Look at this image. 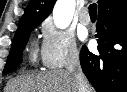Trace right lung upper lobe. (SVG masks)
Segmentation results:
<instances>
[{
  "mask_svg": "<svg viewBox=\"0 0 127 92\" xmlns=\"http://www.w3.org/2000/svg\"><path fill=\"white\" fill-rule=\"evenodd\" d=\"M56 0H31L20 19L16 34L27 27L39 25L51 13ZM98 12L119 8L125 0H98ZM15 34V35H16Z\"/></svg>",
  "mask_w": 127,
  "mask_h": 92,
  "instance_id": "obj_1",
  "label": "right lung upper lobe"
}]
</instances>
